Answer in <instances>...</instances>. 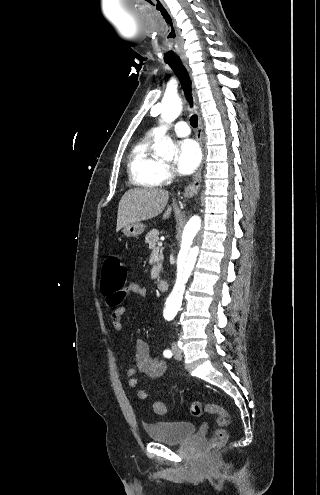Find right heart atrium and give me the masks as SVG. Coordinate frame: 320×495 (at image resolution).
<instances>
[{"label": "right heart atrium", "mask_w": 320, "mask_h": 495, "mask_svg": "<svg viewBox=\"0 0 320 495\" xmlns=\"http://www.w3.org/2000/svg\"><path fill=\"white\" fill-rule=\"evenodd\" d=\"M172 178V172L168 165H162L159 171V181L161 183L168 182Z\"/></svg>", "instance_id": "1"}]
</instances>
